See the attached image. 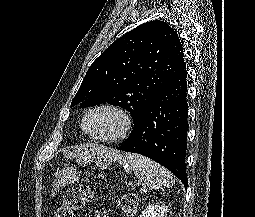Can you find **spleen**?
Here are the masks:
<instances>
[{"mask_svg": "<svg viewBox=\"0 0 255 217\" xmlns=\"http://www.w3.org/2000/svg\"><path fill=\"white\" fill-rule=\"evenodd\" d=\"M118 158L130 164L139 181L151 189L169 188L175 184L173 175L167 169L145 156L127 153Z\"/></svg>", "mask_w": 255, "mask_h": 217, "instance_id": "obj_1", "label": "spleen"}]
</instances>
